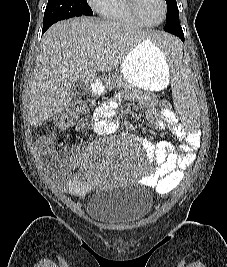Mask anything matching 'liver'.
<instances>
[{
    "instance_id": "6515ba94",
    "label": "liver",
    "mask_w": 227,
    "mask_h": 267,
    "mask_svg": "<svg viewBox=\"0 0 227 267\" xmlns=\"http://www.w3.org/2000/svg\"><path fill=\"white\" fill-rule=\"evenodd\" d=\"M156 34L135 25L85 16L52 25L43 36L42 64L30 87L31 126L38 128L68 107L73 83H92L97 72L117 68L136 45Z\"/></svg>"
}]
</instances>
